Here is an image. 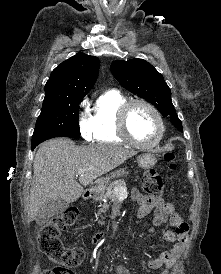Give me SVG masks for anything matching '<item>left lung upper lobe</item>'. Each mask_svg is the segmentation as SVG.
<instances>
[{"instance_id": "obj_1", "label": "left lung upper lobe", "mask_w": 221, "mask_h": 274, "mask_svg": "<svg viewBox=\"0 0 221 274\" xmlns=\"http://www.w3.org/2000/svg\"><path fill=\"white\" fill-rule=\"evenodd\" d=\"M111 71L124 88L153 104L164 117H170L178 130L183 131L172 104L171 90L163 76L150 63L143 59L114 61Z\"/></svg>"}]
</instances>
